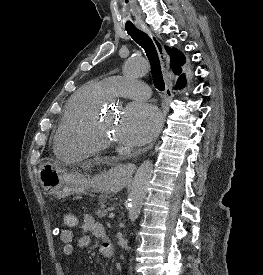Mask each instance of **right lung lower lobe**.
Here are the masks:
<instances>
[{
  "mask_svg": "<svg viewBox=\"0 0 263 275\" xmlns=\"http://www.w3.org/2000/svg\"><path fill=\"white\" fill-rule=\"evenodd\" d=\"M185 82H186V80H185V78L182 80V82H179V83H177V86H176V88H179V87H183L184 85H185Z\"/></svg>",
  "mask_w": 263,
  "mask_h": 275,
  "instance_id": "1",
  "label": "right lung lower lobe"
}]
</instances>
